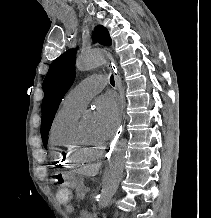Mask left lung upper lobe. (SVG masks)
<instances>
[{
	"mask_svg": "<svg viewBox=\"0 0 211 218\" xmlns=\"http://www.w3.org/2000/svg\"><path fill=\"white\" fill-rule=\"evenodd\" d=\"M94 38L103 45H111L109 33L101 25L95 28ZM75 59V50L71 49L63 53L52 62L43 81L45 96L42 102L41 136L45 148L47 147L48 133L58 106L73 83L75 77Z\"/></svg>",
	"mask_w": 211,
	"mask_h": 218,
	"instance_id": "5c2ea615",
	"label": "left lung upper lobe"
}]
</instances>
